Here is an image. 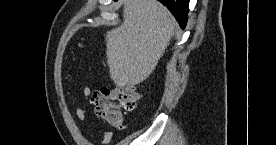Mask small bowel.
Listing matches in <instances>:
<instances>
[{
	"mask_svg": "<svg viewBox=\"0 0 276 145\" xmlns=\"http://www.w3.org/2000/svg\"><path fill=\"white\" fill-rule=\"evenodd\" d=\"M83 92V96L85 99V104H83L82 106H80L77 111L76 114L78 116V118L82 121H87L88 117H87V109L89 107V105H91V94L92 91L88 86L83 87L82 89ZM90 135V133H88ZM113 134L110 131H104L103 135H102V140H101V144L102 145H109L111 140H112Z\"/></svg>",
	"mask_w": 276,
	"mask_h": 145,
	"instance_id": "obj_1",
	"label": "small bowel"
}]
</instances>
